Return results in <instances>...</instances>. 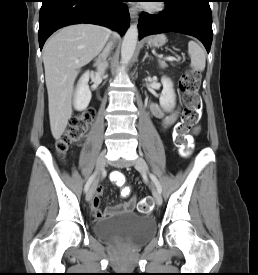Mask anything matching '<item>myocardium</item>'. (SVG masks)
I'll use <instances>...</instances> for the list:
<instances>
[{"mask_svg":"<svg viewBox=\"0 0 258 275\" xmlns=\"http://www.w3.org/2000/svg\"><path fill=\"white\" fill-rule=\"evenodd\" d=\"M165 3L162 0H154L152 3L144 5V9L149 12H160L164 9Z\"/></svg>","mask_w":258,"mask_h":275,"instance_id":"f54148a6","label":"myocardium"}]
</instances>
